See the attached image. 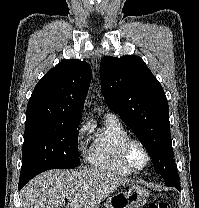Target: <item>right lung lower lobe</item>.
<instances>
[{
    "mask_svg": "<svg viewBox=\"0 0 199 208\" xmlns=\"http://www.w3.org/2000/svg\"><path fill=\"white\" fill-rule=\"evenodd\" d=\"M29 180L26 178H20L19 180V189H21Z\"/></svg>",
    "mask_w": 199,
    "mask_h": 208,
    "instance_id": "right-lung-lower-lobe-1",
    "label": "right lung lower lobe"
}]
</instances>
